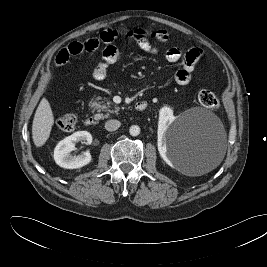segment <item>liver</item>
Here are the masks:
<instances>
[{"mask_svg":"<svg viewBox=\"0 0 267 267\" xmlns=\"http://www.w3.org/2000/svg\"><path fill=\"white\" fill-rule=\"evenodd\" d=\"M54 116L51 106L46 98H43L35 112L32 124V138L36 147L43 146L50 136Z\"/></svg>","mask_w":267,"mask_h":267,"instance_id":"1","label":"liver"}]
</instances>
